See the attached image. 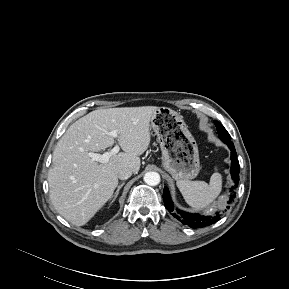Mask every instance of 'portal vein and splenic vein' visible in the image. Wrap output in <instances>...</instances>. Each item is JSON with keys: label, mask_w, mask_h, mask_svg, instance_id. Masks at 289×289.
Instances as JSON below:
<instances>
[{"label": "portal vein and splenic vein", "mask_w": 289, "mask_h": 289, "mask_svg": "<svg viewBox=\"0 0 289 289\" xmlns=\"http://www.w3.org/2000/svg\"><path fill=\"white\" fill-rule=\"evenodd\" d=\"M109 135H111L114 138L118 137V133L115 130L110 131ZM119 150H120V147L118 145H115L109 152H105L104 154H97V153L90 152L88 153V155L92 159V161H96L100 163H107L110 157L117 154Z\"/></svg>", "instance_id": "1"}]
</instances>
